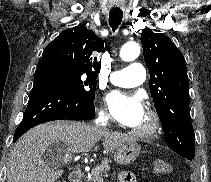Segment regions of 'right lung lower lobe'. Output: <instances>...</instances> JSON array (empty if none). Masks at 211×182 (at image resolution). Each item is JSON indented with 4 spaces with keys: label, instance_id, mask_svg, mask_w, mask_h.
<instances>
[{
    "label": "right lung lower lobe",
    "instance_id": "obj_1",
    "mask_svg": "<svg viewBox=\"0 0 211 182\" xmlns=\"http://www.w3.org/2000/svg\"><path fill=\"white\" fill-rule=\"evenodd\" d=\"M94 102L81 97L64 76L45 60H40L25 115L14 134V142L30 128L44 122L71 119L91 120Z\"/></svg>",
    "mask_w": 211,
    "mask_h": 182
}]
</instances>
